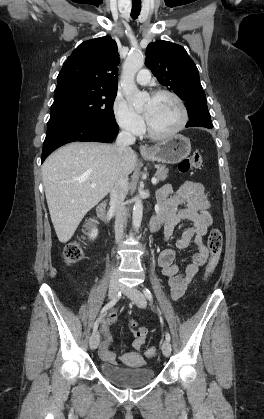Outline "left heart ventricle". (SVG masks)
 Returning a JSON list of instances; mask_svg holds the SVG:
<instances>
[{
	"instance_id": "b2bd125f",
	"label": "left heart ventricle",
	"mask_w": 264,
	"mask_h": 419,
	"mask_svg": "<svg viewBox=\"0 0 264 419\" xmlns=\"http://www.w3.org/2000/svg\"><path fill=\"white\" fill-rule=\"evenodd\" d=\"M150 127L157 133L174 129L181 118L177 103L169 96L149 98L143 107Z\"/></svg>"
}]
</instances>
